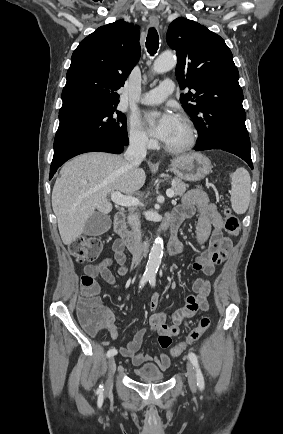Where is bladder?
Instances as JSON below:
<instances>
[{
	"instance_id": "31cf9c89",
	"label": "bladder",
	"mask_w": 283,
	"mask_h": 434,
	"mask_svg": "<svg viewBox=\"0 0 283 434\" xmlns=\"http://www.w3.org/2000/svg\"><path fill=\"white\" fill-rule=\"evenodd\" d=\"M135 376L144 382L163 381L165 374L154 364H146L134 370Z\"/></svg>"
}]
</instances>
